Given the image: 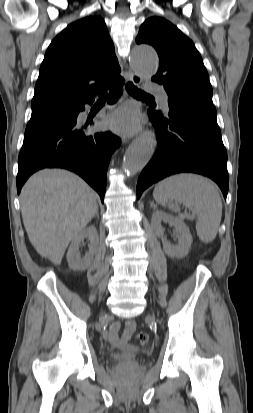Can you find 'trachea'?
Returning <instances> with one entry per match:
<instances>
[{
    "label": "trachea",
    "mask_w": 253,
    "mask_h": 413,
    "mask_svg": "<svg viewBox=\"0 0 253 413\" xmlns=\"http://www.w3.org/2000/svg\"><path fill=\"white\" fill-rule=\"evenodd\" d=\"M127 92L133 96H140V97H147V98H153L151 95L146 94L144 91L138 89L136 86L133 85V83L128 82L125 86ZM106 96V90H102L99 93V98L100 99H105Z\"/></svg>",
    "instance_id": "1"
}]
</instances>
